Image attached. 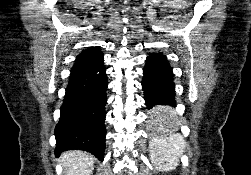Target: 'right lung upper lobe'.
<instances>
[{
  "label": "right lung upper lobe",
  "mask_w": 251,
  "mask_h": 175,
  "mask_svg": "<svg viewBox=\"0 0 251 175\" xmlns=\"http://www.w3.org/2000/svg\"><path fill=\"white\" fill-rule=\"evenodd\" d=\"M103 54L97 48H88L83 50L78 56L75 63H85L97 58H100Z\"/></svg>",
  "instance_id": "cb5924a9"
}]
</instances>
